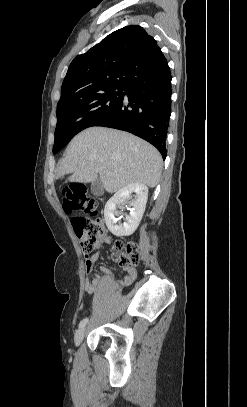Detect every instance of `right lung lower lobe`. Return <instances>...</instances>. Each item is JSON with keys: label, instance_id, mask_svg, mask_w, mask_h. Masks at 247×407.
Masks as SVG:
<instances>
[{"label": "right lung lower lobe", "instance_id": "1", "mask_svg": "<svg viewBox=\"0 0 247 407\" xmlns=\"http://www.w3.org/2000/svg\"><path fill=\"white\" fill-rule=\"evenodd\" d=\"M127 98L94 126L128 131L154 145L165 159L171 115V73L167 61L154 71L133 79Z\"/></svg>", "mask_w": 247, "mask_h": 407}]
</instances>
